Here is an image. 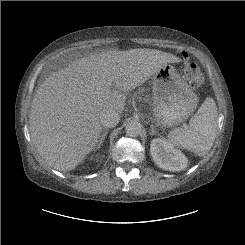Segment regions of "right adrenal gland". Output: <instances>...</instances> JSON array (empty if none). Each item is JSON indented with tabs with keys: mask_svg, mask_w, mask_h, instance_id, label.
<instances>
[{
	"mask_svg": "<svg viewBox=\"0 0 245 245\" xmlns=\"http://www.w3.org/2000/svg\"><path fill=\"white\" fill-rule=\"evenodd\" d=\"M106 135H107V131L104 129L102 131V134L100 135L99 140H98V146H97V148H100V146L102 145L103 141L105 140Z\"/></svg>",
	"mask_w": 245,
	"mask_h": 245,
	"instance_id": "obj_1",
	"label": "right adrenal gland"
}]
</instances>
